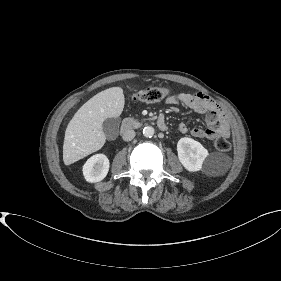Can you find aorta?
I'll return each instance as SVG.
<instances>
[{
	"label": "aorta",
	"instance_id": "obj_1",
	"mask_svg": "<svg viewBox=\"0 0 281 281\" xmlns=\"http://www.w3.org/2000/svg\"><path fill=\"white\" fill-rule=\"evenodd\" d=\"M154 128L152 126H146L143 129V135L147 138H151L154 135Z\"/></svg>",
	"mask_w": 281,
	"mask_h": 281
}]
</instances>
